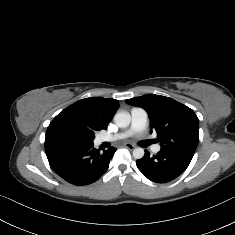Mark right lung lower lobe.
I'll return each mask as SVG.
<instances>
[{
    "mask_svg": "<svg viewBox=\"0 0 235 235\" xmlns=\"http://www.w3.org/2000/svg\"><path fill=\"white\" fill-rule=\"evenodd\" d=\"M116 150L111 147L100 153L93 148V142H70L62 135L45 140V152L52 170L78 186L97 181L107 171Z\"/></svg>",
    "mask_w": 235,
    "mask_h": 235,
    "instance_id": "98d812e1",
    "label": "right lung lower lobe"
}]
</instances>
